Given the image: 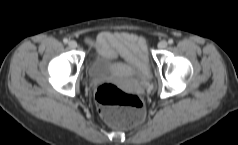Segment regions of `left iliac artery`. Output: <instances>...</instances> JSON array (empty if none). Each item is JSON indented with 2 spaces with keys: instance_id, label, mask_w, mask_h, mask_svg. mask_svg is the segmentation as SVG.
Instances as JSON below:
<instances>
[{
  "instance_id": "left-iliac-artery-1",
  "label": "left iliac artery",
  "mask_w": 238,
  "mask_h": 145,
  "mask_svg": "<svg viewBox=\"0 0 238 145\" xmlns=\"http://www.w3.org/2000/svg\"><path fill=\"white\" fill-rule=\"evenodd\" d=\"M173 43H174V40H173V39H169V40H168V44L171 45V44H173Z\"/></svg>"
}]
</instances>
